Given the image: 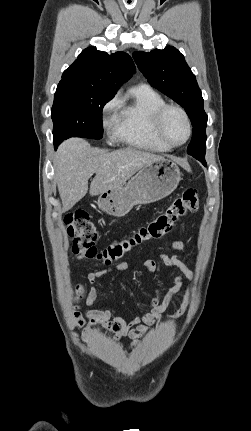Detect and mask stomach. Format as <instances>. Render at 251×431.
I'll list each match as a JSON object with an SVG mask.
<instances>
[{"mask_svg":"<svg viewBox=\"0 0 251 431\" xmlns=\"http://www.w3.org/2000/svg\"><path fill=\"white\" fill-rule=\"evenodd\" d=\"M181 171L171 159L145 165L125 186L101 193L98 206L115 217L125 216L135 205L159 201L171 194L181 180Z\"/></svg>","mask_w":251,"mask_h":431,"instance_id":"0dacf381","label":"stomach"}]
</instances>
